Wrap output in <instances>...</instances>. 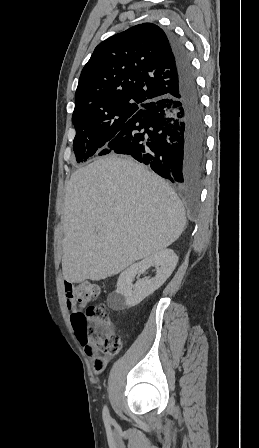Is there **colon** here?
<instances>
[{"label": "colon", "instance_id": "colon-1", "mask_svg": "<svg viewBox=\"0 0 259 448\" xmlns=\"http://www.w3.org/2000/svg\"><path fill=\"white\" fill-rule=\"evenodd\" d=\"M99 294L100 287L89 281L80 282L73 289L74 301L81 307L96 300ZM71 321L83 346L92 344L106 355H115L121 350V339L115 332L105 305L88 306L84 312L72 315Z\"/></svg>", "mask_w": 259, "mask_h": 448}]
</instances>
